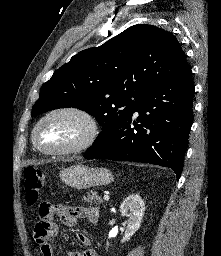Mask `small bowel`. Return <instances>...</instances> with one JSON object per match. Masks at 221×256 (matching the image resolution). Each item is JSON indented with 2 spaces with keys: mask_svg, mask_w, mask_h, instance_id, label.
I'll return each instance as SVG.
<instances>
[{
  "mask_svg": "<svg viewBox=\"0 0 221 256\" xmlns=\"http://www.w3.org/2000/svg\"><path fill=\"white\" fill-rule=\"evenodd\" d=\"M59 218L66 227L74 226L79 220L86 219L90 223H97L99 210L96 207L64 206L43 202L39 206V220L35 224L33 235L36 243L40 246L42 256H53L51 240L59 235V228L55 218ZM81 244L88 247L83 251H69L68 256H99L98 253L89 248L90 238L83 232L77 234Z\"/></svg>",
  "mask_w": 221,
  "mask_h": 256,
  "instance_id": "small-bowel-1",
  "label": "small bowel"
}]
</instances>
